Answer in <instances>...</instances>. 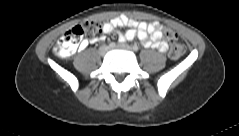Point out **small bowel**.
<instances>
[{"instance_id": "1", "label": "small bowel", "mask_w": 239, "mask_h": 136, "mask_svg": "<svg viewBox=\"0 0 239 136\" xmlns=\"http://www.w3.org/2000/svg\"><path fill=\"white\" fill-rule=\"evenodd\" d=\"M119 27L129 28L124 33L119 34L118 39L120 42L139 39L143 46L155 48L160 52H165L168 48L167 42L163 39V26L159 22H139L125 15H120L105 23L102 27V32L109 34ZM101 39V37H95L88 41L85 40L80 48H84L88 43H98Z\"/></svg>"}]
</instances>
